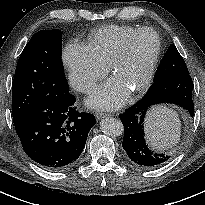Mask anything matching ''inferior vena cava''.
Masks as SVG:
<instances>
[{"label":"inferior vena cava","mask_w":205,"mask_h":205,"mask_svg":"<svg viewBox=\"0 0 205 205\" xmlns=\"http://www.w3.org/2000/svg\"><path fill=\"white\" fill-rule=\"evenodd\" d=\"M89 87H90V84H80V85H79V88H80L81 90H84V89L89 88Z\"/></svg>","instance_id":"obj_1"}]
</instances>
